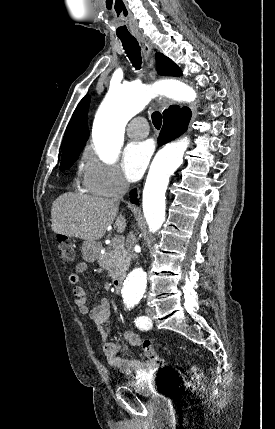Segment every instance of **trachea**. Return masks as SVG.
<instances>
[{
	"label": "trachea",
	"instance_id": "3493384b",
	"mask_svg": "<svg viewBox=\"0 0 275 429\" xmlns=\"http://www.w3.org/2000/svg\"><path fill=\"white\" fill-rule=\"evenodd\" d=\"M120 40L122 42L123 49L125 50V53L127 54L132 65L136 68V70H139L141 68L142 58L140 52L141 48L137 40L134 37H120ZM151 118L155 128L160 129L162 125L161 113L155 111L152 113Z\"/></svg>",
	"mask_w": 275,
	"mask_h": 429
}]
</instances>
